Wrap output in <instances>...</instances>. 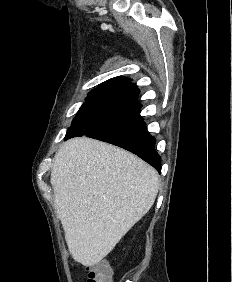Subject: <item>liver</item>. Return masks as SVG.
Here are the masks:
<instances>
[{"mask_svg":"<svg viewBox=\"0 0 232 282\" xmlns=\"http://www.w3.org/2000/svg\"><path fill=\"white\" fill-rule=\"evenodd\" d=\"M57 215L76 262L93 266L152 207L156 170L134 154L87 137L57 151L51 169Z\"/></svg>","mask_w":232,"mask_h":282,"instance_id":"6515ba94","label":"liver"}]
</instances>
